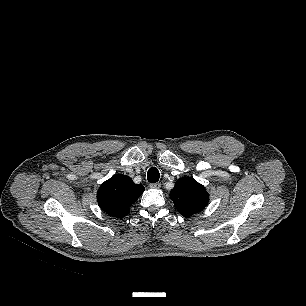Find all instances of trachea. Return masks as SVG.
<instances>
[{
    "instance_id": "trachea-1",
    "label": "trachea",
    "mask_w": 306,
    "mask_h": 306,
    "mask_svg": "<svg viewBox=\"0 0 306 306\" xmlns=\"http://www.w3.org/2000/svg\"><path fill=\"white\" fill-rule=\"evenodd\" d=\"M159 178H160V173L157 170V168L151 167L148 170V173H147L148 181L151 182V183H156V182H158Z\"/></svg>"
}]
</instances>
